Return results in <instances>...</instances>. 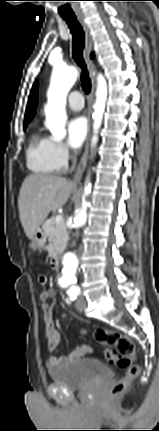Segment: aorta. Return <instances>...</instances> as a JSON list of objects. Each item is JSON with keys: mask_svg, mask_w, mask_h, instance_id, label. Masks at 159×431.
I'll use <instances>...</instances> for the list:
<instances>
[{"mask_svg": "<svg viewBox=\"0 0 159 431\" xmlns=\"http://www.w3.org/2000/svg\"><path fill=\"white\" fill-rule=\"evenodd\" d=\"M78 76L75 67L57 66L53 69L50 87L48 90V103L45 109L47 127L51 131L54 138L60 140L66 135L65 122L67 119L65 112L66 97L74 85ZM98 85L96 91V102L94 104V137L92 144L97 142V131L100 128L102 116L105 111L107 99V83L104 77L98 76ZM91 192V183L87 181L84 187L82 197V206L74 219L72 228L78 231L87 220V202L85 197ZM78 256L73 252H67L62 259V275L61 278L69 286L76 285V272L79 268Z\"/></svg>", "mask_w": 159, "mask_h": 431, "instance_id": "1", "label": "aorta"}]
</instances>
